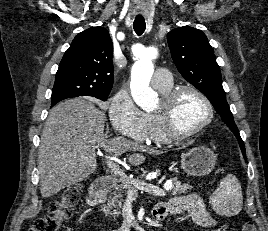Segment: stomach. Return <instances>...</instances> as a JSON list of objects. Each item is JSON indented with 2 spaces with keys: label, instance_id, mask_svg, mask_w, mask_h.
Instances as JSON below:
<instances>
[{
  "label": "stomach",
  "instance_id": "obj_1",
  "mask_svg": "<svg viewBox=\"0 0 268 231\" xmlns=\"http://www.w3.org/2000/svg\"><path fill=\"white\" fill-rule=\"evenodd\" d=\"M216 160V154L209 148L195 147L182 154L181 169L188 176H205L214 169Z\"/></svg>",
  "mask_w": 268,
  "mask_h": 231
}]
</instances>
